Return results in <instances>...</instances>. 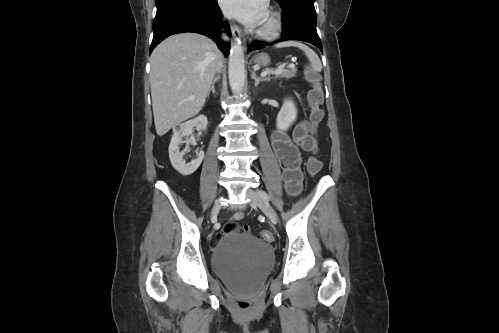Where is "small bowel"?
<instances>
[{
	"instance_id": "c3829d8e",
	"label": "small bowel",
	"mask_w": 499,
	"mask_h": 333,
	"mask_svg": "<svg viewBox=\"0 0 499 333\" xmlns=\"http://www.w3.org/2000/svg\"><path fill=\"white\" fill-rule=\"evenodd\" d=\"M317 130L308 120L300 121L293 129L291 136L282 130L276 129L272 134V147L282 168V178L287 192L297 196L301 192L303 174L300 168V151L316 154ZM244 214L239 212L233 220L242 219Z\"/></svg>"
}]
</instances>
